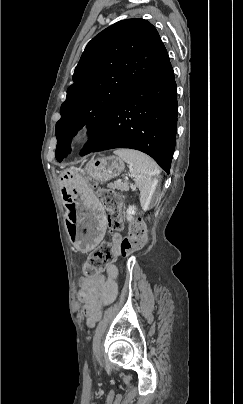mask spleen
<instances>
[{
	"mask_svg": "<svg viewBox=\"0 0 243 404\" xmlns=\"http://www.w3.org/2000/svg\"><path fill=\"white\" fill-rule=\"evenodd\" d=\"M114 154L130 164L136 178L135 186L140 190V204L142 210H151L153 194L158 184L159 170L156 162L137 150H115Z\"/></svg>",
	"mask_w": 243,
	"mask_h": 404,
	"instance_id": "obj_1",
	"label": "spleen"
}]
</instances>
